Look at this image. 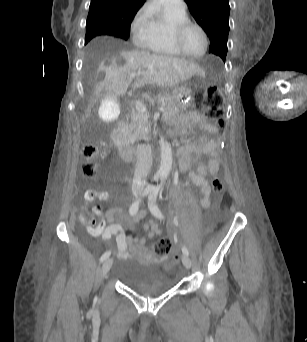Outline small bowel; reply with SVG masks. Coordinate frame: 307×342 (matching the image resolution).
Wrapping results in <instances>:
<instances>
[{
	"label": "small bowel",
	"mask_w": 307,
	"mask_h": 342,
	"mask_svg": "<svg viewBox=\"0 0 307 342\" xmlns=\"http://www.w3.org/2000/svg\"><path fill=\"white\" fill-rule=\"evenodd\" d=\"M196 129L200 132L198 139L182 147L178 152L179 168L184 171L197 166L195 171L190 172L189 177L193 184L200 188L202 194L200 205L206 209L211 204V188L206 180V176L208 174H215L220 164L218 140L215 137L218 129L205 116L193 113L189 117L186 132L192 134ZM203 155H206L209 159L207 164L201 162ZM108 198L109 196L106 192L88 189L84 193L85 206L80 214V221L86 226L87 231L92 236L100 237L105 241H110L113 236H116V254L118 258L125 260L131 254L130 249H133L135 253L143 251L147 240L145 237L125 235L122 225L115 220L117 212L122 213L124 216L126 215L122 211L112 208L104 213L100 205H94L91 212L88 213L87 205L96 200L106 202ZM87 215H89V218ZM143 216L144 213L140 212L136 216L135 221L130 223L128 227L133 229L135 222L143 218ZM94 217H98L100 221L96 223L93 219ZM143 228L147 231V237L150 239L162 234V230L155 220H151Z\"/></svg>",
	"instance_id": "small-bowel-1"
}]
</instances>
